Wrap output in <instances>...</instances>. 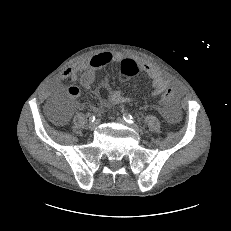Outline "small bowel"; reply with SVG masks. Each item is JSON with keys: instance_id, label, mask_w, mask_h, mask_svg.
I'll return each mask as SVG.
<instances>
[{"instance_id": "obj_1", "label": "small bowel", "mask_w": 231, "mask_h": 231, "mask_svg": "<svg viewBox=\"0 0 231 231\" xmlns=\"http://www.w3.org/2000/svg\"><path fill=\"white\" fill-rule=\"evenodd\" d=\"M125 59V56L120 52H102L96 54L77 65L69 66L64 69L61 73L60 80H57L54 84V89L61 88V80L71 79L77 81L82 87L89 89L94 84L98 71L110 64L121 62ZM136 62L143 73L149 78L152 84V91L150 96H158L163 93V88L166 85H171L172 80L166 77L162 71H160L155 66L135 59L133 57L128 58ZM104 88L108 91L107 98L100 99V107H104L107 104H125L131 102V99L125 96L121 91L111 90L108 83H105ZM68 94L73 98L77 99L80 96V90L71 86L68 88ZM98 109V108H95ZM160 113L166 118V120L174 124L178 121L180 116V110L176 103H170L162 108H160ZM65 119H62L63 122Z\"/></svg>"}]
</instances>
